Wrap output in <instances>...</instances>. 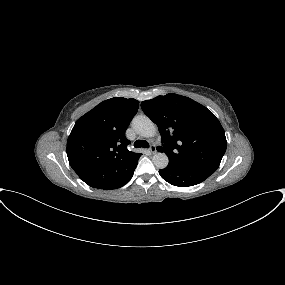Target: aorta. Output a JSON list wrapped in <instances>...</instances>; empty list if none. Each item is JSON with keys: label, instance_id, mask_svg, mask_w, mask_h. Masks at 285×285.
Segmentation results:
<instances>
[{"label": "aorta", "instance_id": "1", "mask_svg": "<svg viewBox=\"0 0 285 285\" xmlns=\"http://www.w3.org/2000/svg\"><path fill=\"white\" fill-rule=\"evenodd\" d=\"M132 126L139 135L145 138L154 137L157 132L155 124L145 115L134 117ZM152 162L157 168L164 169L168 166L169 158L165 153L158 152L153 155Z\"/></svg>", "mask_w": 285, "mask_h": 285}]
</instances>
